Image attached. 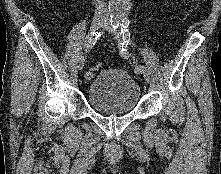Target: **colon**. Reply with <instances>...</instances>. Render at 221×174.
I'll list each match as a JSON object with an SVG mask.
<instances>
[{"label":"colon","instance_id":"colon-1","mask_svg":"<svg viewBox=\"0 0 221 174\" xmlns=\"http://www.w3.org/2000/svg\"><path fill=\"white\" fill-rule=\"evenodd\" d=\"M102 68V64L101 63H96L92 66V70L93 71H98Z\"/></svg>","mask_w":221,"mask_h":174}]
</instances>
